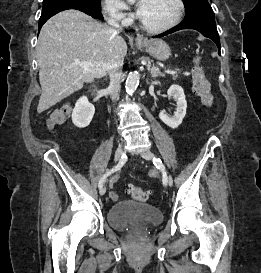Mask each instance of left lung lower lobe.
<instances>
[{
  "mask_svg": "<svg viewBox=\"0 0 261 273\" xmlns=\"http://www.w3.org/2000/svg\"><path fill=\"white\" fill-rule=\"evenodd\" d=\"M181 29H195L205 37L212 39L216 43L220 54V40L214 19V12L208 2L195 5L186 11L185 18L179 25L160 35L153 36V38L163 37Z\"/></svg>",
  "mask_w": 261,
  "mask_h": 273,
  "instance_id": "left-lung-lower-lobe-1",
  "label": "left lung lower lobe"
}]
</instances>
